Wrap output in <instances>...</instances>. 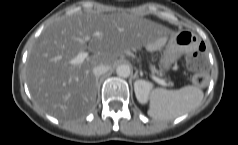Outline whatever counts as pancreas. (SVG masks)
Instances as JSON below:
<instances>
[{"label": "pancreas", "instance_id": "1", "mask_svg": "<svg viewBox=\"0 0 238 145\" xmlns=\"http://www.w3.org/2000/svg\"><path fill=\"white\" fill-rule=\"evenodd\" d=\"M150 70H151L152 73H157V74H159L160 76H162V73L159 72V71L155 68L154 65H150Z\"/></svg>", "mask_w": 238, "mask_h": 145}]
</instances>
